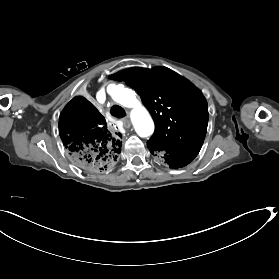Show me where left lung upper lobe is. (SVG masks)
<instances>
[{"label":"left lung upper lobe","mask_w":279,"mask_h":279,"mask_svg":"<svg viewBox=\"0 0 279 279\" xmlns=\"http://www.w3.org/2000/svg\"><path fill=\"white\" fill-rule=\"evenodd\" d=\"M124 81L141 96L156 129L149 143L199 151L208 124V107L202 92L188 79L166 67H133L110 76Z\"/></svg>","instance_id":"1"}]
</instances>
